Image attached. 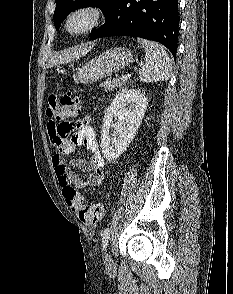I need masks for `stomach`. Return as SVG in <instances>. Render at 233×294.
Wrapping results in <instances>:
<instances>
[{"mask_svg": "<svg viewBox=\"0 0 233 294\" xmlns=\"http://www.w3.org/2000/svg\"><path fill=\"white\" fill-rule=\"evenodd\" d=\"M132 59L131 50L125 47L108 50L79 67L73 75V80L76 84L92 83L123 69Z\"/></svg>", "mask_w": 233, "mask_h": 294, "instance_id": "0dacf381", "label": "stomach"}]
</instances>
